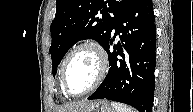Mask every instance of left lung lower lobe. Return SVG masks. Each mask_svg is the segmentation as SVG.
I'll return each instance as SVG.
<instances>
[{
    "label": "left lung lower lobe",
    "mask_w": 193,
    "mask_h": 112,
    "mask_svg": "<svg viewBox=\"0 0 193 112\" xmlns=\"http://www.w3.org/2000/svg\"><path fill=\"white\" fill-rule=\"evenodd\" d=\"M151 0H133L115 23L114 36L104 49L109 72L88 99H109L131 105L139 112H152L155 86L156 28ZM121 42L110 52L117 34Z\"/></svg>",
    "instance_id": "0a47b994"
}]
</instances>
